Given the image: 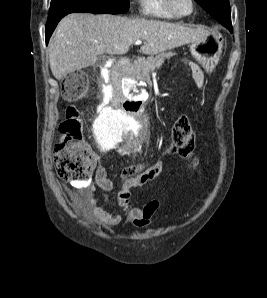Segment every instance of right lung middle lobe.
I'll list each match as a JSON object with an SVG mask.
<instances>
[{"label": "right lung middle lobe", "instance_id": "obj_1", "mask_svg": "<svg viewBox=\"0 0 267 298\" xmlns=\"http://www.w3.org/2000/svg\"><path fill=\"white\" fill-rule=\"evenodd\" d=\"M128 10L129 0H51L47 23L73 12L117 14Z\"/></svg>", "mask_w": 267, "mask_h": 298}]
</instances>
